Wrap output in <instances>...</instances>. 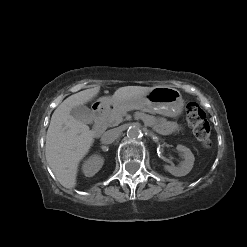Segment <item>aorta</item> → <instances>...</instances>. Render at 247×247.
I'll return each instance as SVG.
<instances>
[{"label": "aorta", "instance_id": "obj_1", "mask_svg": "<svg viewBox=\"0 0 247 247\" xmlns=\"http://www.w3.org/2000/svg\"><path fill=\"white\" fill-rule=\"evenodd\" d=\"M127 136L130 139H138L141 136V130L137 126H130L127 130Z\"/></svg>", "mask_w": 247, "mask_h": 247}]
</instances>
